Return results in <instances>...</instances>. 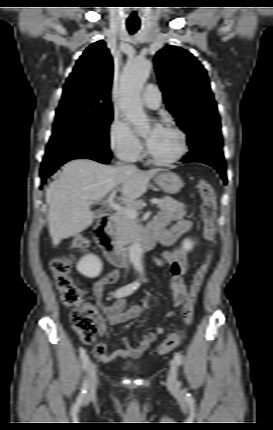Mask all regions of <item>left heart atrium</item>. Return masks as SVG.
<instances>
[{
	"mask_svg": "<svg viewBox=\"0 0 273 430\" xmlns=\"http://www.w3.org/2000/svg\"><path fill=\"white\" fill-rule=\"evenodd\" d=\"M160 128H161L160 126H155V127H153V129L151 130V133H150V135L148 136V138H147V140H146L147 145H148L149 147L153 144V142H154V140H155V138H156V136H157V134H158V132H159Z\"/></svg>",
	"mask_w": 273,
	"mask_h": 430,
	"instance_id": "39dd6f15",
	"label": "left heart atrium"
}]
</instances>
